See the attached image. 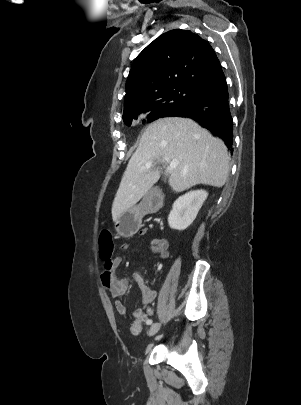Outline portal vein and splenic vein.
<instances>
[{"label": "portal vein and splenic vein", "mask_w": 301, "mask_h": 405, "mask_svg": "<svg viewBox=\"0 0 301 405\" xmlns=\"http://www.w3.org/2000/svg\"><path fill=\"white\" fill-rule=\"evenodd\" d=\"M163 161L169 163L168 168H167L168 172H171L178 165V160H169L168 158H163ZM152 164H153L152 161L146 163L145 168L146 169L151 168Z\"/></svg>", "instance_id": "1"}]
</instances>
